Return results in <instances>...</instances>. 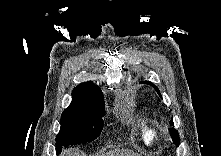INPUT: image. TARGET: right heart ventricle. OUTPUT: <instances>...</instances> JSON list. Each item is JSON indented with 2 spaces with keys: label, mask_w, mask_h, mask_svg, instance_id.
Listing matches in <instances>:
<instances>
[{
  "label": "right heart ventricle",
  "mask_w": 221,
  "mask_h": 156,
  "mask_svg": "<svg viewBox=\"0 0 221 156\" xmlns=\"http://www.w3.org/2000/svg\"><path fill=\"white\" fill-rule=\"evenodd\" d=\"M141 136L143 142L148 146L157 144L160 139V134L156 126L146 122L141 125Z\"/></svg>",
  "instance_id": "1"
}]
</instances>
